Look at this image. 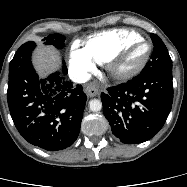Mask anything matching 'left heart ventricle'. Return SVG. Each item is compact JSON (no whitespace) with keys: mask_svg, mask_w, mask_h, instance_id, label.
<instances>
[{"mask_svg":"<svg viewBox=\"0 0 187 187\" xmlns=\"http://www.w3.org/2000/svg\"><path fill=\"white\" fill-rule=\"evenodd\" d=\"M147 50L148 46L144 42L134 45L117 65V69L119 71H127L136 67L145 57Z\"/></svg>","mask_w":187,"mask_h":187,"instance_id":"left-heart-ventricle-1","label":"left heart ventricle"}]
</instances>
